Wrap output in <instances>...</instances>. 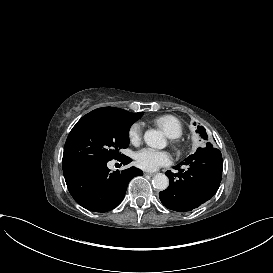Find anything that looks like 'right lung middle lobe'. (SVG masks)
<instances>
[{"label": "right lung middle lobe", "instance_id": "right-lung-middle-lobe-1", "mask_svg": "<svg viewBox=\"0 0 273 273\" xmlns=\"http://www.w3.org/2000/svg\"><path fill=\"white\" fill-rule=\"evenodd\" d=\"M132 124L113 117L90 112L70 131L64 146L63 169L83 162H104L119 159L129 145Z\"/></svg>", "mask_w": 273, "mask_h": 273}]
</instances>
